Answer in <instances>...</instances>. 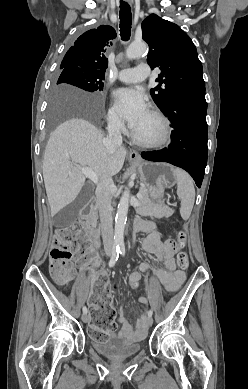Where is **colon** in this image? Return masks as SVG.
<instances>
[{
	"label": "colon",
	"mask_w": 248,
	"mask_h": 389,
	"mask_svg": "<svg viewBox=\"0 0 248 389\" xmlns=\"http://www.w3.org/2000/svg\"><path fill=\"white\" fill-rule=\"evenodd\" d=\"M177 240L180 245H183L186 241V234L180 232ZM88 253L89 244L79 225L58 228L54 233L50 250V274L59 285L67 284L74 273L71 261H82L88 256ZM177 264L181 270L187 269L189 257L186 252L181 251L177 254ZM110 279V273L99 272L96 275L93 284L94 294L91 297L92 305L88 306V311L93 312V320L90 326H85L84 331L90 333L96 339L97 344H106L107 332L116 328V312L109 297L112 291L103 288ZM139 283V277H132L128 286L132 291H137ZM137 296L143 300L147 299L142 291H139Z\"/></svg>",
	"instance_id": "5ec220e1"
}]
</instances>
